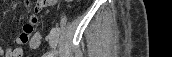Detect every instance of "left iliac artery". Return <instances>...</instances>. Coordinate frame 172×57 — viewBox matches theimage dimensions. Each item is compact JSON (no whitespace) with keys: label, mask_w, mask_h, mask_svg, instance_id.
I'll list each match as a JSON object with an SVG mask.
<instances>
[{"label":"left iliac artery","mask_w":172,"mask_h":57,"mask_svg":"<svg viewBox=\"0 0 172 57\" xmlns=\"http://www.w3.org/2000/svg\"><path fill=\"white\" fill-rule=\"evenodd\" d=\"M57 32L59 33L60 32V28L58 26L55 27Z\"/></svg>","instance_id":"44dca946"}]
</instances>
